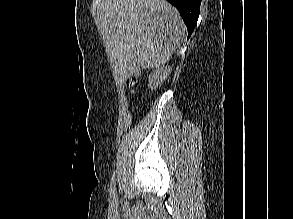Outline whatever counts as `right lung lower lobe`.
Returning <instances> with one entry per match:
<instances>
[{
  "instance_id": "obj_1",
  "label": "right lung lower lobe",
  "mask_w": 293,
  "mask_h": 219,
  "mask_svg": "<svg viewBox=\"0 0 293 219\" xmlns=\"http://www.w3.org/2000/svg\"><path fill=\"white\" fill-rule=\"evenodd\" d=\"M180 12L188 29V38L192 34L200 12L201 0H167Z\"/></svg>"
}]
</instances>
